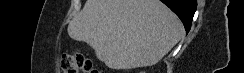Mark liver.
I'll use <instances>...</instances> for the list:
<instances>
[{"instance_id":"6515ba94","label":"liver","mask_w":244,"mask_h":73,"mask_svg":"<svg viewBox=\"0 0 244 73\" xmlns=\"http://www.w3.org/2000/svg\"><path fill=\"white\" fill-rule=\"evenodd\" d=\"M68 35L111 69L158 63L181 39L179 18L159 0H87Z\"/></svg>"}]
</instances>
